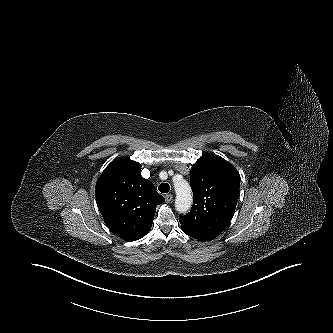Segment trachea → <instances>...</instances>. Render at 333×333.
Returning <instances> with one entry per match:
<instances>
[{
    "mask_svg": "<svg viewBox=\"0 0 333 333\" xmlns=\"http://www.w3.org/2000/svg\"><path fill=\"white\" fill-rule=\"evenodd\" d=\"M158 190L161 193H168L170 191V186L168 183H162L159 185Z\"/></svg>",
    "mask_w": 333,
    "mask_h": 333,
    "instance_id": "3493384b",
    "label": "trachea"
}]
</instances>
